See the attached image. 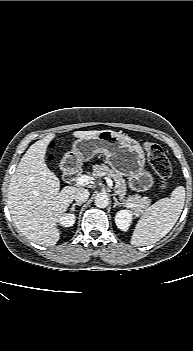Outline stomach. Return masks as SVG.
<instances>
[{
    "label": "stomach",
    "mask_w": 193,
    "mask_h": 351,
    "mask_svg": "<svg viewBox=\"0 0 193 351\" xmlns=\"http://www.w3.org/2000/svg\"><path fill=\"white\" fill-rule=\"evenodd\" d=\"M103 153L113 171L128 177L129 187L137 192L152 188L154 178L145 170V153L140 143L126 134L100 131L90 139L79 138L62 160L63 164L80 165Z\"/></svg>",
    "instance_id": "0dacf381"
}]
</instances>
